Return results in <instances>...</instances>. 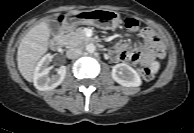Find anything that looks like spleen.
Here are the masks:
<instances>
[{"instance_id": "1", "label": "spleen", "mask_w": 194, "mask_h": 133, "mask_svg": "<svg viewBox=\"0 0 194 133\" xmlns=\"http://www.w3.org/2000/svg\"><path fill=\"white\" fill-rule=\"evenodd\" d=\"M159 68H160L159 62L155 61V62H153V63L151 64V72H152L153 74L157 73V71L159 70Z\"/></svg>"}]
</instances>
